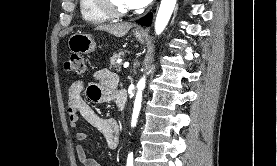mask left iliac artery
I'll use <instances>...</instances> for the list:
<instances>
[{
  "label": "left iliac artery",
  "mask_w": 277,
  "mask_h": 166,
  "mask_svg": "<svg viewBox=\"0 0 277 166\" xmlns=\"http://www.w3.org/2000/svg\"><path fill=\"white\" fill-rule=\"evenodd\" d=\"M126 166H133V154L132 153H130L128 155Z\"/></svg>",
  "instance_id": "1"
}]
</instances>
